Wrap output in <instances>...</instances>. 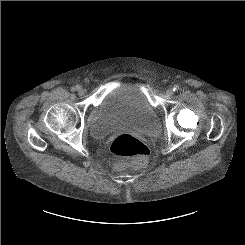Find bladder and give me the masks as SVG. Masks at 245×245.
Returning <instances> with one entry per match:
<instances>
[{
    "label": "bladder",
    "mask_w": 245,
    "mask_h": 245,
    "mask_svg": "<svg viewBox=\"0 0 245 245\" xmlns=\"http://www.w3.org/2000/svg\"><path fill=\"white\" fill-rule=\"evenodd\" d=\"M123 124L147 133H153L160 124L154 108L134 79L124 80L103 98L89 125V134L101 140Z\"/></svg>",
    "instance_id": "1"
}]
</instances>
